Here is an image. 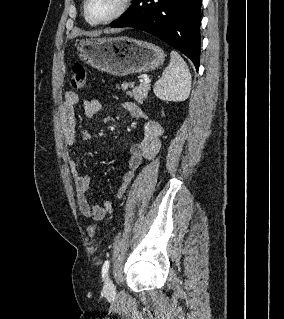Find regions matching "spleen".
<instances>
[{"instance_id": "spleen-1", "label": "spleen", "mask_w": 284, "mask_h": 319, "mask_svg": "<svg viewBox=\"0 0 284 319\" xmlns=\"http://www.w3.org/2000/svg\"><path fill=\"white\" fill-rule=\"evenodd\" d=\"M170 64L154 85V94L164 101H185L191 90V75L183 58L170 53Z\"/></svg>"}]
</instances>
